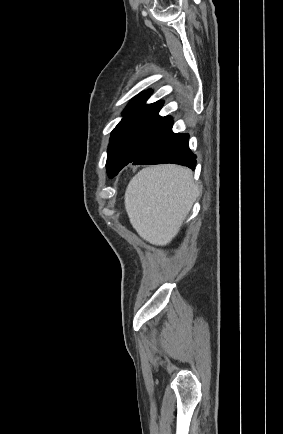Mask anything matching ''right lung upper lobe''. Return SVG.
I'll return each mask as SVG.
<instances>
[{
    "label": "right lung upper lobe",
    "instance_id": "1",
    "mask_svg": "<svg viewBox=\"0 0 283 434\" xmlns=\"http://www.w3.org/2000/svg\"><path fill=\"white\" fill-rule=\"evenodd\" d=\"M150 94L151 91H144L140 93L137 97L133 98L123 112V114H125L124 117L150 116L160 119L172 120L170 116L160 117L158 115L160 109L163 106V101L146 104V101L149 98Z\"/></svg>",
    "mask_w": 283,
    "mask_h": 434
}]
</instances>
